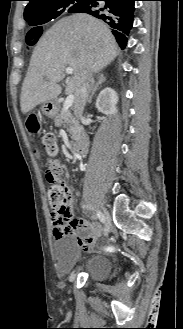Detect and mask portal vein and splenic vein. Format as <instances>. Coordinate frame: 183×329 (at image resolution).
Segmentation results:
<instances>
[{
	"label": "portal vein and splenic vein",
	"instance_id": "1",
	"mask_svg": "<svg viewBox=\"0 0 183 329\" xmlns=\"http://www.w3.org/2000/svg\"><path fill=\"white\" fill-rule=\"evenodd\" d=\"M65 71L66 73L72 74L74 72V69L71 67H67ZM74 98L75 96L73 94L67 96L66 100L63 103V108H62L63 113H65L73 105Z\"/></svg>",
	"mask_w": 183,
	"mask_h": 329
}]
</instances>
